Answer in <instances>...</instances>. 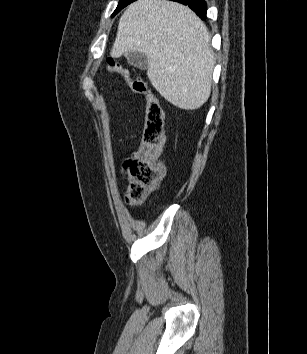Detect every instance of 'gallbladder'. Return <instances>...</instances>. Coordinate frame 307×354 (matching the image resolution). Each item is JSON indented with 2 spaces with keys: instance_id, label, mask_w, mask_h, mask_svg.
<instances>
[{
  "instance_id": "gallbladder-1",
  "label": "gallbladder",
  "mask_w": 307,
  "mask_h": 354,
  "mask_svg": "<svg viewBox=\"0 0 307 354\" xmlns=\"http://www.w3.org/2000/svg\"><path fill=\"white\" fill-rule=\"evenodd\" d=\"M126 59L129 64H131L141 70H146L148 68V59L144 53L129 52L126 54Z\"/></svg>"
}]
</instances>
